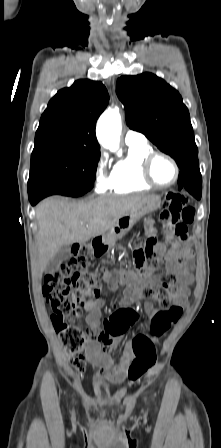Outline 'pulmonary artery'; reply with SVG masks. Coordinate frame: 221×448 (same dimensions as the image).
<instances>
[{
	"label": "pulmonary artery",
	"instance_id": "pulmonary-artery-1",
	"mask_svg": "<svg viewBox=\"0 0 221 448\" xmlns=\"http://www.w3.org/2000/svg\"><path fill=\"white\" fill-rule=\"evenodd\" d=\"M124 141L127 145L146 143L147 139L144 134L135 130H127Z\"/></svg>",
	"mask_w": 221,
	"mask_h": 448
}]
</instances>
